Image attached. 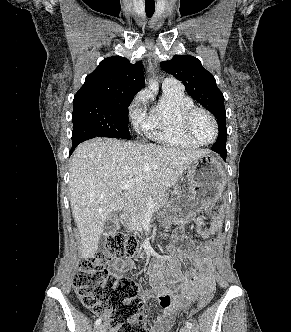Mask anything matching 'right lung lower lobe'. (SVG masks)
I'll return each mask as SVG.
<instances>
[{
    "label": "right lung lower lobe",
    "mask_w": 291,
    "mask_h": 332,
    "mask_svg": "<svg viewBox=\"0 0 291 332\" xmlns=\"http://www.w3.org/2000/svg\"><path fill=\"white\" fill-rule=\"evenodd\" d=\"M85 134V133H91V128L90 127H86L84 129L78 130V131H73L72 133V149L71 152L75 149V147L79 144L74 138L76 134Z\"/></svg>",
    "instance_id": "98d812e1"
}]
</instances>
